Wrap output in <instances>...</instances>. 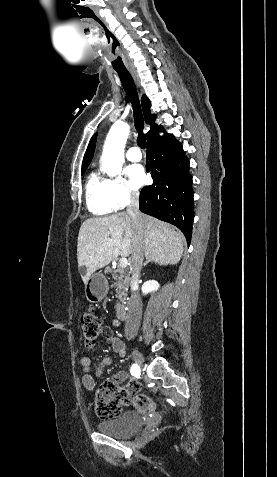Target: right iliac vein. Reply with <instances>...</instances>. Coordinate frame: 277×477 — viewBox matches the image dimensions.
I'll return each instance as SVG.
<instances>
[{"label":"right iliac vein","instance_id":"obj_1","mask_svg":"<svg viewBox=\"0 0 277 477\" xmlns=\"http://www.w3.org/2000/svg\"><path fill=\"white\" fill-rule=\"evenodd\" d=\"M133 358L139 366H141V367L143 366L144 358H143L142 354L136 349L133 350Z\"/></svg>","mask_w":277,"mask_h":477}]
</instances>
